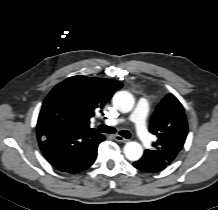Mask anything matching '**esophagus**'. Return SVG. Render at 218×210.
<instances>
[{"label":"esophagus","instance_id":"obj_1","mask_svg":"<svg viewBox=\"0 0 218 210\" xmlns=\"http://www.w3.org/2000/svg\"><path fill=\"white\" fill-rule=\"evenodd\" d=\"M114 139H115L117 142H121V143H125V142L128 141L126 138L122 137L121 135H114Z\"/></svg>","mask_w":218,"mask_h":210}]
</instances>
